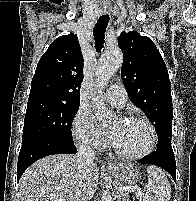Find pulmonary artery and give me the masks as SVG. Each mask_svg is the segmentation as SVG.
Listing matches in <instances>:
<instances>
[{
  "mask_svg": "<svg viewBox=\"0 0 196 201\" xmlns=\"http://www.w3.org/2000/svg\"><path fill=\"white\" fill-rule=\"evenodd\" d=\"M105 97L114 106L122 107L127 101V92L120 84H114L105 92Z\"/></svg>",
  "mask_w": 196,
  "mask_h": 201,
  "instance_id": "obj_1",
  "label": "pulmonary artery"
}]
</instances>
